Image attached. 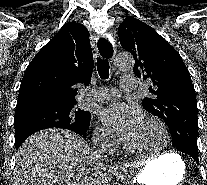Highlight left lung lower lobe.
Returning a JSON list of instances; mask_svg holds the SVG:
<instances>
[{"label": "left lung lower lobe", "mask_w": 207, "mask_h": 185, "mask_svg": "<svg viewBox=\"0 0 207 185\" xmlns=\"http://www.w3.org/2000/svg\"><path fill=\"white\" fill-rule=\"evenodd\" d=\"M188 155H190L199 164L198 153L191 152Z\"/></svg>", "instance_id": "left-lung-lower-lobe-1"}]
</instances>
